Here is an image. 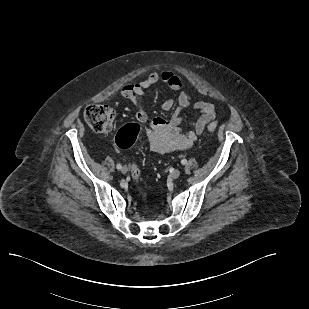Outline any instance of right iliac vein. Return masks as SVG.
Wrapping results in <instances>:
<instances>
[{
	"label": "right iliac vein",
	"instance_id": "right-iliac-vein-1",
	"mask_svg": "<svg viewBox=\"0 0 309 309\" xmlns=\"http://www.w3.org/2000/svg\"><path fill=\"white\" fill-rule=\"evenodd\" d=\"M127 171H128V168L126 167V166H123L122 168H121V172L122 173H127Z\"/></svg>",
	"mask_w": 309,
	"mask_h": 309
}]
</instances>
